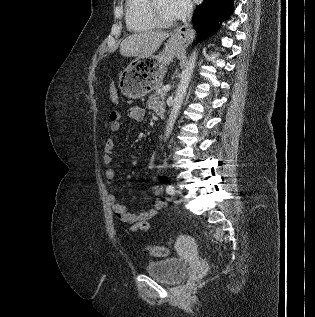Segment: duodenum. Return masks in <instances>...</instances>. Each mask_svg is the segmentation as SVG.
Masks as SVG:
<instances>
[{
    "label": "duodenum",
    "mask_w": 315,
    "mask_h": 317,
    "mask_svg": "<svg viewBox=\"0 0 315 317\" xmlns=\"http://www.w3.org/2000/svg\"><path fill=\"white\" fill-rule=\"evenodd\" d=\"M158 115L161 117V118H164L165 117V111L164 110H161L158 112Z\"/></svg>",
    "instance_id": "obj_1"
}]
</instances>
